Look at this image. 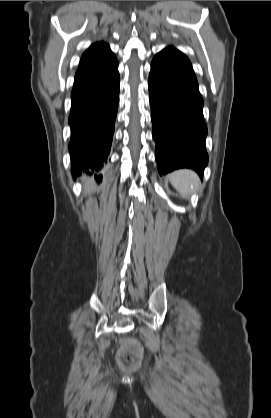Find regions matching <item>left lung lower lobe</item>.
I'll return each instance as SVG.
<instances>
[{
	"label": "left lung lower lobe",
	"instance_id": "0a47b994",
	"mask_svg": "<svg viewBox=\"0 0 271 418\" xmlns=\"http://www.w3.org/2000/svg\"><path fill=\"white\" fill-rule=\"evenodd\" d=\"M148 88L160 175L186 167L202 177L208 163L207 126L189 59L173 47L163 49L151 63Z\"/></svg>",
	"mask_w": 271,
	"mask_h": 418
}]
</instances>
